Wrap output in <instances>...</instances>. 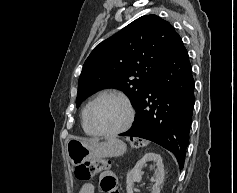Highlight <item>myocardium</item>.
Listing matches in <instances>:
<instances>
[{"instance_id":"f54148a6","label":"myocardium","mask_w":237,"mask_h":193,"mask_svg":"<svg viewBox=\"0 0 237 193\" xmlns=\"http://www.w3.org/2000/svg\"><path fill=\"white\" fill-rule=\"evenodd\" d=\"M104 97L115 98V99L119 100L125 106L128 116H127L126 123L122 127L115 129V130H111V131H102V130H99L98 128H96L95 125L93 124V122L91 120L92 108L98 100H100ZM135 116H136V112H135V109H134L132 103L130 102V100L127 97H125L124 95L117 93V92H112V91L103 92V93H100L99 95H97L88 104L87 110H86V120H87L89 127L92 129V131L96 135H100V136H117V135H120V134L128 131L134 123Z\"/></svg>"}]
</instances>
